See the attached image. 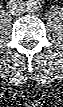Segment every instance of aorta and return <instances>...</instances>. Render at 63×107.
<instances>
[{
	"label": "aorta",
	"mask_w": 63,
	"mask_h": 107,
	"mask_svg": "<svg viewBox=\"0 0 63 107\" xmlns=\"http://www.w3.org/2000/svg\"><path fill=\"white\" fill-rule=\"evenodd\" d=\"M40 3L38 0L27 1V8L31 11H36L39 9Z\"/></svg>",
	"instance_id": "obj_1"
}]
</instances>
